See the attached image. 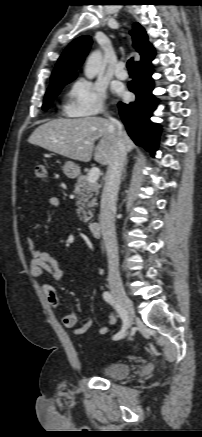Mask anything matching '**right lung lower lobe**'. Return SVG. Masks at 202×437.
I'll return each mask as SVG.
<instances>
[{
    "label": "right lung lower lobe",
    "instance_id": "98d812e1",
    "mask_svg": "<svg viewBox=\"0 0 202 437\" xmlns=\"http://www.w3.org/2000/svg\"><path fill=\"white\" fill-rule=\"evenodd\" d=\"M154 58V57H153ZM135 64L136 75L129 82V90L136 95V101L129 104L118 103L119 113L129 136L136 145L155 154L161 127L150 121L157 108L158 99L152 94L154 81L152 79V59Z\"/></svg>",
    "mask_w": 202,
    "mask_h": 437
}]
</instances>
